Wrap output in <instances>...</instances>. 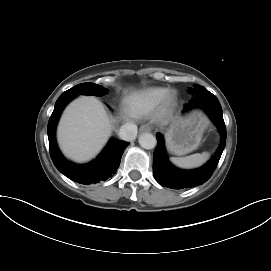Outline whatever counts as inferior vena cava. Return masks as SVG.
Returning a JSON list of instances; mask_svg holds the SVG:
<instances>
[{"label": "inferior vena cava", "instance_id": "1", "mask_svg": "<svg viewBox=\"0 0 271 271\" xmlns=\"http://www.w3.org/2000/svg\"><path fill=\"white\" fill-rule=\"evenodd\" d=\"M119 137L124 141H132L137 136V126L132 123H126L119 129Z\"/></svg>", "mask_w": 271, "mask_h": 271}]
</instances>
